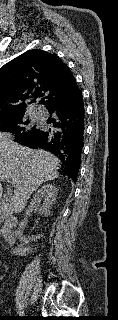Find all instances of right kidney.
<instances>
[{
    "mask_svg": "<svg viewBox=\"0 0 118 320\" xmlns=\"http://www.w3.org/2000/svg\"><path fill=\"white\" fill-rule=\"evenodd\" d=\"M58 189L55 185L46 184L43 185L34 195L31 199L30 205L28 206L26 215H29L30 213L37 212L40 215L49 216L51 215L50 208L53 205V203L56 200ZM43 200V203L41 204V201ZM26 226L25 219L20 222L18 229L15 231L16 236L22 243V245H27L31 241H36L37 239H40L42 235L38 236H32L29 238H26L23 236V229ZM24 251H28L27 248H24Z\"/></svg>",
    "mask_w": 118,
    "mask_h": 320,
    "instance_id": "ca27d5eb",
    "label": "right kidney"
}]
</instances>
